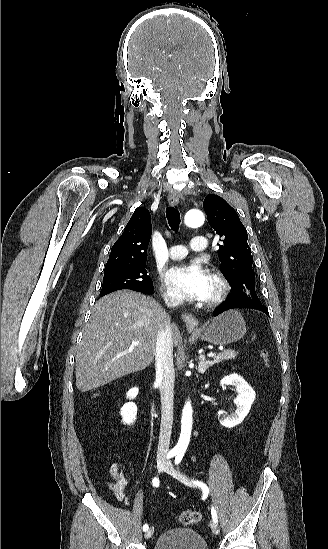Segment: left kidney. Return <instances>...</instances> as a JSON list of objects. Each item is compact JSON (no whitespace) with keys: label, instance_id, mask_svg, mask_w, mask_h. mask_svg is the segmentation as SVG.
<instances>
[{"label":"left kidney","instance_id":"5707ae66","mask_svg":"<svg viewBox=\"0 0 328 549\" xmlns=\"http://www.w3.org/2000/svg\"><path fill=\"white\" fill-rule=\"evenodd\" d=\"M220 385H233L239 393L238 397L233 401L234 405L237 407L235 413L228 415L226 411H218V419L221 425L231 429V427H235V425H240L243 419L247 417L251 405L255 401L256 395L250 385H248L240 375H229V377H224V379L220 381Z\"/></svg>","mask_w":328,"mask_h":549}]
</instances>
